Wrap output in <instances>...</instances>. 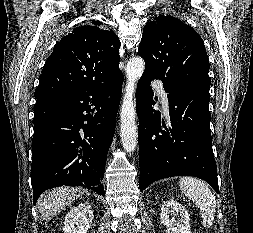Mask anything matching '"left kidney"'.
I'll list each match as a JSON object with an SVG mask.
<instances>
[{
  "label": "left kidney",
  "mask_w": 253,
  "mask_h": 233,
  "mask_svg": "<svg viewBox=\"0 0 253 233\" xmlns=\"http://www.w3.org/2000/svg\"><path fill=\"white\" fill-rule=\"evenodd\" d=\"M175 213L177 220L175 217L170 218ZM160 220L167 227L168 233H191L190 218L186 208L173 199L163 203Z\"/></svg>",
  "instance_id": "1"
}]
</instances>
